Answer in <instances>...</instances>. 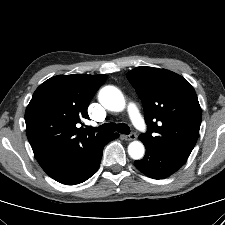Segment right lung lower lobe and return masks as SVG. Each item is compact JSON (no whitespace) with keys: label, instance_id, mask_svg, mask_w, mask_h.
Wrapping results in <instances>:
<instances>
[{"label":"right lung lower lobe","instance_id":"right-lung-lower-lobe-1","mask_svg":"<svg viewBox=\"0 0 225 225\" xmlns=\"http://www.w3.org/2000/svg\"><path fill=\"white\" fill-rule=\"evenodd\" d=\"M117 137H119L118 133H107L88 151L69 154L58 161L52 169L45 172L62 184L75 185L82 183L97 171L104 146Z\"/></svg>","mask_w":225,"mask_h":225}]
</instances>
